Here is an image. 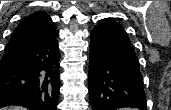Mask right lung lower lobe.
I'll list each match as a JSON object with an SVG mask.
<instances>
[{
	"mask_svg": "<svg viewBox=\"0 0 171 110\" xmlns=\"http://www.w3.org/2000/svg\"><path fill=\"white\" fill-rule=\"evenodd\" d=\"M58 32L19 54L0 69V108L22 105L29 110H56L59 98Z\"/></svg>",
	"mask_w": 171,
	"mask_h": 110,
	"instance_id": "right-lung-lower-lobe-1",
	"label": "right lung lower lobe"
}]
</instances>
